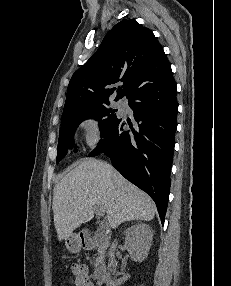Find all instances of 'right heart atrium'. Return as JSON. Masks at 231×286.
I'll list each match as a JSON object with an SVG mask.
<instances>
[{"mask_svg": "<svg viewBox=\"0 0 231 286\" xmlns=\"http://www.w3.org/2000/svg\"><path fill=\"white\" fill-rule=\"evenodd\" d=\"M80 129L84 143L90 149H95L101 139L99 121L94 117H86L81 121Z\"/></svg>", "mask_w": 231, "mask_h": 286, "instance_id": "right-heart-atrium-1", "label": "right heart atrium"}]
</instances>
